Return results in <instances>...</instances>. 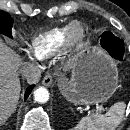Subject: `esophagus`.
I'll return each mask as SVG.
<instances>
[{
	"mask_svg": "<svg viewBox=\"0 0 130 130\" xmlns=\"http://www.w3.org/2000/svg\"><path fill=\"white\" fill-rule=\"evenodd\" d=\"M52 83H53V76H52L51 74H47V75L43 78V80H42V84H43L44 86H47V87L51 86Z\"/></svg>",
	"mask_w": 130,
	"mask_h": 130,
	"instance_id": "esophagus-1",
	"label": "esophagus"
}]
</instances>
